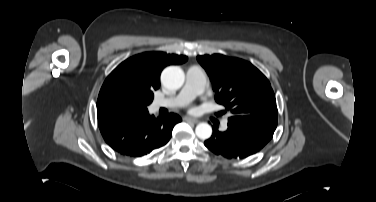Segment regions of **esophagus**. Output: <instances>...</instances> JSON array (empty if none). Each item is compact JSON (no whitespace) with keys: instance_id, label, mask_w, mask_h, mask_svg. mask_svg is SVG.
Masks as SVG:
<instances>
[{"instance_id":"34e87169","label":"esophagus","mask_w":376,"mask_h":202,"mask_svg":"<svg viewBox=\"0 0 376 202\" xmlns=\"http://www.w3.org/2000/svg\"><path fill=\"white\" fill-rule=\"evenodd\" d=\"M184 119L186 121H190V122H193V123H198L199 122L198 119H195V118H192V117H189V116L184 117Z\"/></svg>"}]
</instances>
